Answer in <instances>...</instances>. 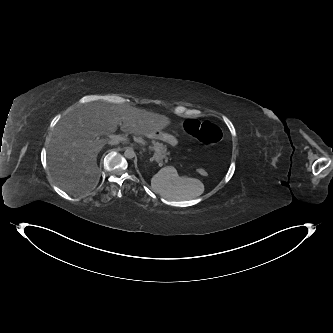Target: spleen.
<instances>
[{"instance_id": "obj_1", "label": "spleen", "mask_w": 333, "mask_h": 333, "mask_svg": "<svg viewBox=\"0 0 333 333\" xmlns=\"http://www.w3.org/2000/svg\"><path fill=\"white\" fill-rule=\"evenodd\" d=\"M151 188L155 193L169 200H188L204 193L199 179L179 177L171 167L163 168L153 175Z\"/></svg>"}]
</instances>
